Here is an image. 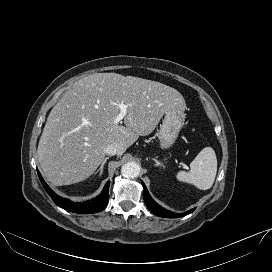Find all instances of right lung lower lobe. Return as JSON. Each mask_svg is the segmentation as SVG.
Masks as SVG:
<instances>
[{"label":"right lung lower lobe","mask_w":272,"mask_h":272,"mask_svg":"<svg viewBox=\"0 0 272 272\" xmlns=\"http://www.w3.org/2000/svg\"><path fill=\"white\" fill-rule=\"evenodd\" d=\"M38 176L40 178V181L45 188L46 192L49 194V196L52 198V200L61 208L70 211V212H75V213H80V214H90V213H97L102 211L108 204V198H109V186H110V181H108L101 192L99 196H97L94 199H91L86 202H72L68 199L62 198L57 196L50 188L49 186L45 183L43 180L41 174L39 171Z\"/></svg>","instance_id":"obj_1"}]
</instances>
